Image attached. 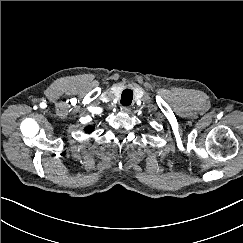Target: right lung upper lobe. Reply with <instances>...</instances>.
<instances>
[{"label":"right lung upper lobe","mask_w":243,"mask_h":243,"mask_svg":"<svg viewBox=\"0 0 243 243\" xmlns=\"http://www.w3.org/2000/svg\"><path fill=\"white\" fill-rule=\"evenodd\" d=\"M84 131H85L86 133H91V132L94 131V126H87V127L84 129Z\"/></svg>","instance_id":"obj_1"}]
</instances>
